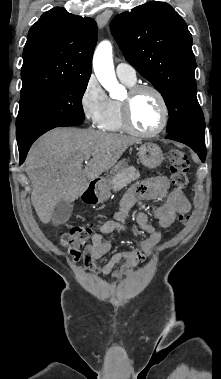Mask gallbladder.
<instances>
[{
    "label": "gallbladder",
    "mask_w": 221,
    "mask_h": 379,
    "mask_svg": "<svg viewBox=\"0 0 221 379\" xmlns=\"http://www.w3.org/2000/svg\"><path fill=\"white\" fill-rule=\"evenodd\" d=\"M73 212L72 202H67L61 199L55 206L52 213V222L54 225L65 223Z\"/></svg>",
    "instance_id": "gallbladder-1"
}]
</instances>
